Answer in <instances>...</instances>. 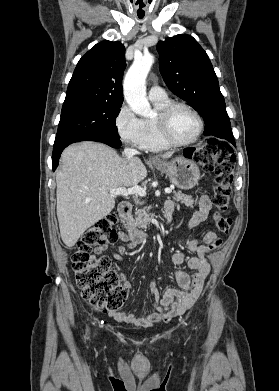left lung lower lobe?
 Returning a JSON list of instances; mask_svg holds the SVG:
<instances>
[{
	"instance_id": "obj_1",
	"label": "left lung lower lobe",
	"mask_w": 279,
	"mask_h": 391,
	"mask_svg": "<svg viewBox=\"0 0 279 391\" xmlns=\"http://www.w3.org/2000/svg\"><path fill=\"white\" fill-rule=\"evenodd\" d=\"M223 139H226V140H228L229 142H231L234 146H235V142H234V138L232 137V136H224V138ZM184 155L185 156H189V154L187 153V152H184Z\"/></svg>"
}]
</instances>
